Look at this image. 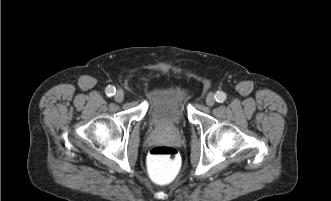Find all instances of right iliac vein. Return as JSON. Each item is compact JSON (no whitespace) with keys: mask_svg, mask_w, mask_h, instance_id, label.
<instances>
[{"mask_svg":"<svg viewBox=\"0 0 331 201\" xmlns=\"http://www.w3.org/2000/svg\"><path fill=\"white\" fill-rule=\"evenodd\" d=\"M115 100L117 102H122L123 99H124V93L122 90H118L116 93H115V96H114Z\"/></svg>","mask_w":331,"mask_h":201,"instance_id":"63e3f726","label":"right iliac vein"}]
</instances>
